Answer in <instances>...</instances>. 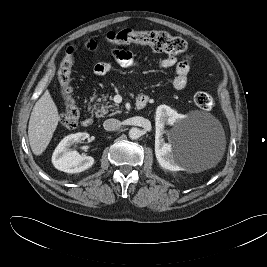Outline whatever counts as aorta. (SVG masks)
I'll use <instances>...</instances> for the list:
<instances>
[{
  "mask_svg": "<svg viewBox=\"0 0 267 267\" xmlns=\"http://www.w3.org/2000/svg\"><path fill=\"white\" fill-rule=\"evenodd\" d=\"M141 136V131L140 129L136 128V127H133L130 129L129 131V137L132 139V140H136L138 139L139 137Z\"/></svg>",
  "mask_w": 267,
  "mask_h": 267,
  "instance_id": "aorta-1",
  "label": "aorta"
}]
</instances>
